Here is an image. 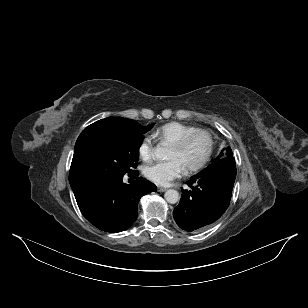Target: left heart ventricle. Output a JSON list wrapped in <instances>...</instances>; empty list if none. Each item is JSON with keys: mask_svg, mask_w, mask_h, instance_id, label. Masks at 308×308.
I'll list each match as a JSON object with an SVG mask.
<instances>
[{"mask_svg": "<svg viewBox=\"0 0 308 308\" xmlns=\"http://www.w3.org/2000/svg\"><path fill=\"white\" fill-rule=\"evenodd\" d=\"M208 148V139L205 135L195 136L190 143L182 150L171 146L168 159H178L187 169L197 164L205 155Z\"/></svg>", "mask_w": 308, "mask_h": 308, "instance_id": "left-heart-ventricle-1", "label": "left heart ventricle"}]
</instances>
